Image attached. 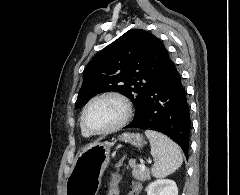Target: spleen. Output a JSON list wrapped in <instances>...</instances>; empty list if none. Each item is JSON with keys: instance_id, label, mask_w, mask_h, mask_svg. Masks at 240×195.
Segmentation results:
<instances>
[{"instance_id": "spleen-1", "label": "spleen", "mask_w": 240, "mask_h": 195, "mask_svg": "<svg viewBox=\"0 0 240 195\" xmlns=\"http://www.w3.org/2000/svg\"><path fill=\"white\" fill-rule=\"evenodd\" d=\"M145 135L150 141V153L155 159V163L151 167V173L154 177H166L182 165L181 149L175 141L159 131H153V129H146Z\"/></svg>"}]
</instances>
